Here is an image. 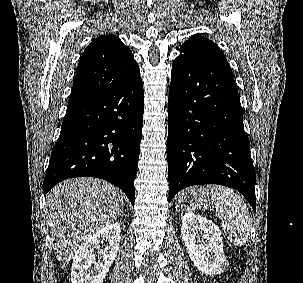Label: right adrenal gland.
<instances>
[{"mask_svg":"<svg viewBox=\"0 0 303 283\" xmlns=\"http://www.w3.org/2000/svg\"><path fill=\"white\" fill-rule=\"evenodd\" d=\"M121 215H122V217L124 216V211L122 210V212H121Z\"/></svg>","mask_w":303,"mask_h":283,"instance_id":"obj_1","label":"right adrenal gland"}]
</instances>
